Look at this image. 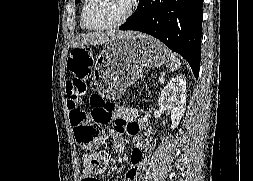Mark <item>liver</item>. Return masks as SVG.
<instances>
[{
  "label": "liver",
  "instance_id": "6515ba94",
  "mask_svg": "<svg viewBox=\"0 0 253 181\" xmlns=\"http://www.w3.org/2000/svg\"><path fill=\"white\" fill-rule=\"evenodd\" d=\"M135 34H137V32L134 31H97L77 37L72 43V46L73 48H77L84 45H102L109 40L121 37H131Z\"/></svg>",
  "mask_w": 253,
  "mask_h": 181
}]
</instances>
